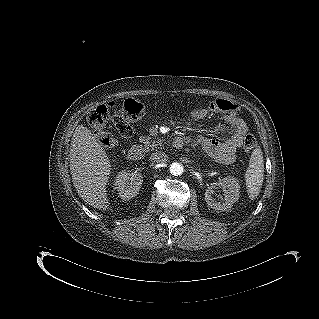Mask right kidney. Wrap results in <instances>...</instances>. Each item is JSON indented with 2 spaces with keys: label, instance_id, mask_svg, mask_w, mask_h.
Listing matches in <instances>:
<instances>
[{
  "label": "right kidney",
  "instance_id": "obj_1",
  "mask_svg": "<svg viewBox=\"0 0 319 319\" xmlns=\"http://www.w3.org/2000/svg\"><path fill=\"white\" fill-rule=\"evenodd\" d=\"M124 187H125V181L122 180V178L117 179V181H116V188H118L120 191H122ZM137 190H138V189L136 188L131 195H134L135 191H137ZM121 196L123 197V199H125L123 195H121Z\"/></svg>",
  "mask_w": 319,
  "mask_h": 319
}]
</instances>
